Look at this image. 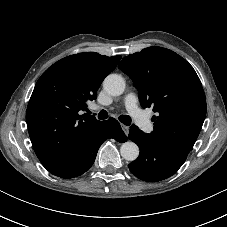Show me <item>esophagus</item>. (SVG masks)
I'll return each mask as SVG.
<instances>
[{
	"label": "esophagus",
	"instance_id": "esophagus-1",
	"mask_svg": "<svg viewBox=\"0 0 227 227\" xmlns=\"http://www.w3.org/2000/svg\"><path fill=\"white\" fill-rule=\"evenodd\" d=\"M121 127H122L124 133L128 136V134H129V127L126 126V125H124V124H121Z\"/></svg>",
	"mask_w": 227,
	"mask_h": 227
}]
</instances>
